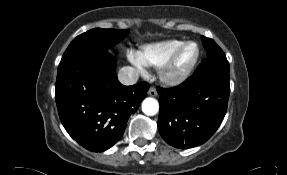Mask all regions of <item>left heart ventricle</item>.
<instances>
[{"instance_id":"b2bd125f","label":"left heart ventricle","mask_w":287,"mask_h":175,"mask_svg":"<svg viewBox=\"0 0 287 175\" xmlns=\"http://www.w3.org/2000/svg\"><path fill=\"white\" fill-rule=\"evenodd\" d=\"M196 53V47L194 45H189L186 47L180 54L177 64L176 70H182L186 68L194 59Z\"/></svg>"}]
</instances>
